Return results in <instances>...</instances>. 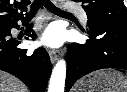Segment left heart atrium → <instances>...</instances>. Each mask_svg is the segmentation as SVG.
I'll list each match as a JSON object with an SVG mask.
<instances>
[{
	"label": "left heart atrium",
	"instance_id": "1",
	"mask_svg": "<svg viewBox=\"0 0 127 92\" xmlns=\"http://www.w3.org/2000/svg\"><path fill=\"white\" fill-rule=\"evenodd\" d=\"M63 41L62 30L53 25L46 29L41 37V43L49 47H58Z\"/></svg>",
	"mask_w": 127,
	"mask_h": 92
}]
</instances>
